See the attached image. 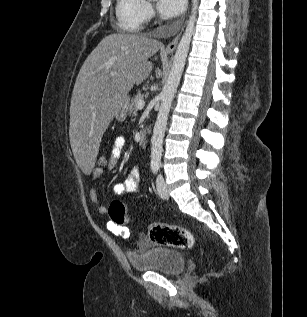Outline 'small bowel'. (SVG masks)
I'll return each instance as SVG.
<instances>
[{
  "label": "small bowel",
  "instance_id": "small-bowel-1",
  "mask_svg": "<svg viewBox=\"0 0 307 317\" xmlns=\"http://www.w3.org/2000/svg\"><path fill=\"white\" fill-rule=\"evenodd\" d=\"M126 141L123 136H118L112 146L111 155L108 160V164L105 168H94L91 171V180L93 183L97 182L102 175L104 174V170H113L120 158L123 155L125 149ZM140 185V171L138 167H134L126 179L118 183L113 188V193L117 196H122L127 193H136L139 190ZM90 199L94 204L96 211L98 214L104 215L107 213V208L103 204L99 202L98 193L95 187H92L90 191ZM107 229L117 236H121L124 239H128L130 237V232L127 228L123 226H119L112 221L107 223ZM146 244L144 242L141 243V247H145Z\"/></svg>",
  "mask_w": 307,
  "mask_h": 317
}]
</instances>
